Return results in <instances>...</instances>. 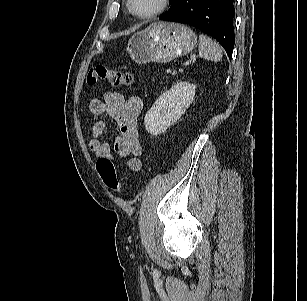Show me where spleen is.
Segmentation results:
<instances>
[{
    "instance_id": "3e777b00",
    "label": "spleen",
    "mask_w": 307,
    "mask_h": 301,
    "mask_svg": "<svg viewBox=\"0 0 307 301\" xmlns=\"http://www.w3.org/2000/svg\"><path fill=\"white\" fill-rule=\"evenodd\" d=\"M199 56L201 58L218 62L222 58L219 45L206 35H199Z\"/></svg>"
}]
</instances>
